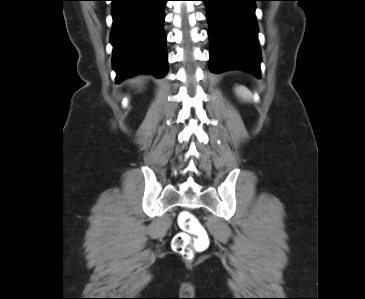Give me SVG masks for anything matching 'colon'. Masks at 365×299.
I'll return each instance as SVG.
<instances>
[{"label": "colon", "instance_id": "colon-1", "mask_svg": "<svg viewBox=\"0 0 365 299\" xmlns=\"http://www.w3.org/2000/svg\"><path fill=\"white\" fill-rule=\"evenodd\" d=\"M181 232L172 240L175 252L191 258L196 252L202 251L209 245V235L201 222L191 213L183 211L178 216Z\"/></svg>", "mask_w": 365, "mask_h": 299}]
</instances>
